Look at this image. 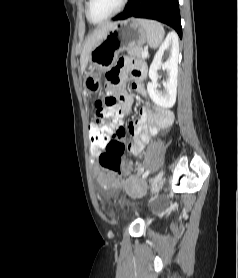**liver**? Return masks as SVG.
Returning <instances> with one entry per match:
<instances>
[{
  "mask_svg": "<svg viewBox=\"0 0 238 278\" xmlns=\"http://www.w3.org/2000/svg\"><path fill=\"white\" fill-rule=\"evenodd\" d=\"M115 25V23H108L104 26L99 27L98 29H96L86 40V43L84 45V48L82 50L81 53V58H80V63H81V72L83 73L87 67L88 61H89V57H90V53L92 51V49L95 47V45L101 40L103 39L107 32L109 31V29H111L113 26Z\"/></svg>",
  "mask_w": 238,
  "mask_h": 278,
  "instance_id": "6515ba94",
  "label": "liver"
}]
</instances>
